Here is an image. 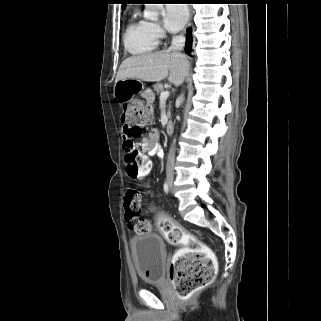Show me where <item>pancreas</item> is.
Wrapping results in <instances>:
<instances>
[{
    "mask_svg": "<svg viewBox=\"0 0 321 321\" xmlns=\"http://www.w3.org/2000/svg\"><path fill=\"white\" fill-rule=\"evenodd\" d=\"M153 87H154V90L156 91L157 94L163 92V90H164L162 83H156ZM168 114L170 115V106H169Z\"/></svg>",
    "mask_w": 321,
    "mask_h": 321,
    "instance_id": "1",
    "label": "pancreas"
}]
</instances>
